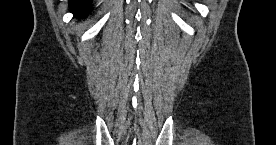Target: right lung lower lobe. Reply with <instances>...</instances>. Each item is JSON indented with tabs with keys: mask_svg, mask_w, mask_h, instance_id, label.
Returning <instances> with one entry per match:
<instances>
[{
	"mask_svg": "<svg viewBox=\"0 0 276 145\" xmlns=\"http://www.w3.org/2000/svg\"><path fill=\"white\" fill-rule=\"evenodd\" d=\"M91 0H69L72 12L77 17L86 15L89 11Z\"/></svg>",
	"mask_w": 276,
	"mask_h": 145,
	"instance_id": "1",
	"label": "right lung lower lobe"
}]
</instances>
